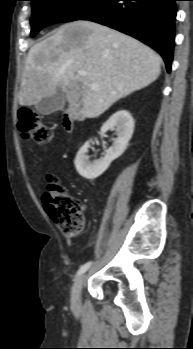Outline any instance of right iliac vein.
I'll use <instances>...</instances> for the list:
<instances>
[{
  "label": "right iliac vein",
  "instance_id": "right-iliac-vein-1",
  "mask_svg": "<svg viewBox=\"0 0 193 349\" xmlns=\"http://www.w3.org/2000/svg\"><path fill=\"white\" fill-rule=\"evenodd\" d=\"M85 277L86 276L84 274L79 276L72 286L71 306L74 310H79L81 307V291L85 281Z\"/></svg>",
  "mask_w": 193,
  "mask_h": 349
}]
</instances>
